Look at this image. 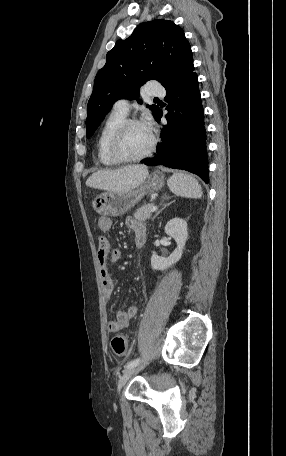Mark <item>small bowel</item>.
I'll return each mask as SVG.
<instances>
[{
    "label": "small bowel",
    "mask_w": 286,
    "mask_h": 456,
    "mask_svg": "<svg viewBox=\"0 0 286 456\" xmlns=\"http://www.w3.org/2000/svg\"><path fill=\"white\" fill-rule=\"evenodd\" d=\"M125 224L134 232V239L141 235H146V229L143 223L133 217H127ZM98 227L102 233L110 231L112 228V219L108 216H103L98 221ZM97 259L100 267V277L104 297L110 299L114 291V281L110 276L108 264L117 262L121 259V251L112 249L109 240L101 235L98 242ZM138 306L131 305L126 310H119L116 313V319L111 320L107 324V330L110 333H116L126 328L131 320L137 315Z\"/></svg>",
    "instance_id": "obj_1"
}]
</instances>
